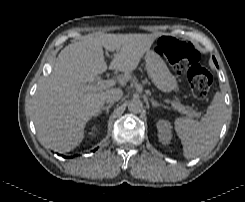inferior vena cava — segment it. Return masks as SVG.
I'll list each match as a JSON object with an SVG mask.
<instances>
[{"label": "inferior vena cava", "mask_w": 245, "mask_h": 202, "mask_svg": "<svg viewBox=\"0 0 245 202\" xmlns=\"http://www.w3.org/2000/svg\"><path fill=\"white\" fill-rule=\"evenodd\" d=\"M123 96V91L121 89H111L107 91L105 100L107 103H114L120 100Z\"/></svg>", "instance_id": "602c4592"}]
</instances>
